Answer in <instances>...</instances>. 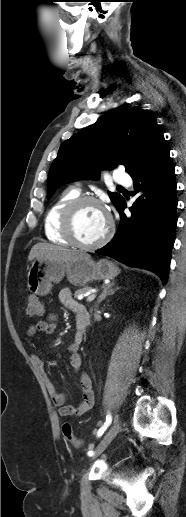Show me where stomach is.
<instances>
[{
	"label": "stomach",
	"mask_w": 186,
	"mask_h": 517,
	"mask_svg": "<svg viewBox=\"0 0 186 517\" xmlns=\"http://www.w3.org/2000/svg\"><path fill=\"white\" fill-rule=\"evenodd\" d=\"M119 268L107 259L95 262L91 259L80 261L34 260L28 271L27 286L30 292L46 295L52 282L59 283L66 275L74 285H84L94 280L113 279Z\"/></svg>",
	"instance_id": "1"
}]
</instances>
